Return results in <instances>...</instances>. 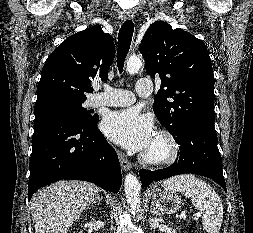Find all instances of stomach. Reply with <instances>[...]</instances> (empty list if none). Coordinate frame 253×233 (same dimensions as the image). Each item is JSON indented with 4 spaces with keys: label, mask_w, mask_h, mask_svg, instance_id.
Instances as JSON below:
<instances>
[{
    "label": "stomach",
    "mask_w": 253,
    "mask_h": 233,
    "mask_svg": "<svg viewBox=\"0 0 253 233\" xmlns=\"http://www.w3.org/2000/svg\"><path fill=\"white\" fill-rule=\"evenodd\" d=\"M153 203L163 214H173L179 211L182 205L181 198L167 189H156L153 193Z\"/></svg>",
    "instance_id": "obj_1"
}]
</instances>
